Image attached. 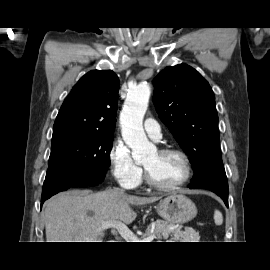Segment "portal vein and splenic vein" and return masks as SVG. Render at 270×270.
Masks as SVG:
<instances>
[{
	"label": "portal vein and splenic vein",
	"instance_id": "portal-vein-and-splenic-vein-1",
	"mask_svg": "<svg viewBox=\"0 0 270 270\" xmlns=\"http://www.w3.org/2000/svg\"><path fill=\"white\" fill-rule=\"evenodd\" d=\"M108 228L116 229L126 242H152L155 235H151L143 240H140L137 235H135L124 223L120 221H106L101 224L99 230H104Z\"/></svg>",
	"mask_w": 270,
	"mask_h": 270
}]
</instances>
